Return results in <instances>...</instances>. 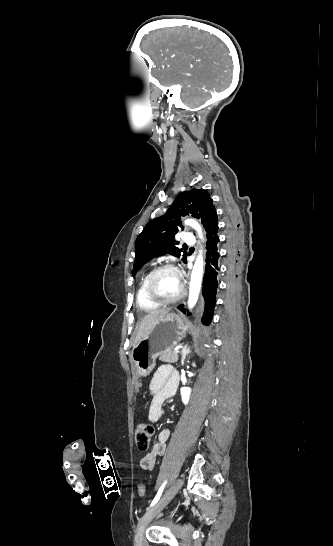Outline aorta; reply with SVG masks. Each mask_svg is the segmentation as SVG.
<instances>
[{
    "instance_id": "obj_1",
    "label": "aorta",
    "mask_w": 333,
    "mask_h": 546,
    "mask_svg": "<svg viewBox=\"0 0 333 546\" xmlns=\"http://www.w3.org/2000/svg\"><path fill=\"white\" fill-rule=\"evenodd\" d=\"M185 224L193 227L197 231L198 235L201 238H203V232H202L201 226L197 223L196 220L187 219L185 221ZM202 277H203V257H202V254H200L194 263V267L191 274V280L189 284V299H188L189 308H193L198 300L200 289H201Z\"/></svg>"
}]
</instances>
